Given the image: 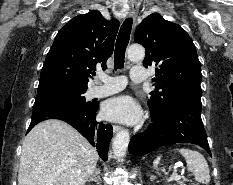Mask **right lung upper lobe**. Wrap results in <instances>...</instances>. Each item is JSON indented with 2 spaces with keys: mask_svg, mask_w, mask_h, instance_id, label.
<instances>
[{
  "mask_svg": "<svg viewBox=\"0 0 233 185\" xmlns=\"http://www.w3.org/2000/svg\"><path fill=\"white\" fill-rule=\"evenodd\" d=\"M119 21L106 20L99 11L71 19L58 32L44 62L38 90L87 89L90 74L112 55Z\"/></svg>",
  "mask_w": 233,
  "mask_h": 185,
  "instance_id": "cb5924a9",
  "label": "right lung upper lobe"
}]
</instances>
